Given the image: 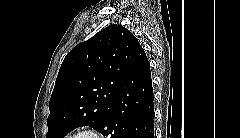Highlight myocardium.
<instances>
[{"instance_id":"1","label":"myocardium","mask_w":240,"mask_h":138,"mask_svg":"<svg viewBox=\"0 0 240 138\" xmlns=\"http://www.w3.org/2000/svg\"><path fill=\"white\" fill-rule=\"evenodd\" d=\"M74 138H100V135L96 130L87 128L77 132Z\"/></svg>"}]
</instances>
